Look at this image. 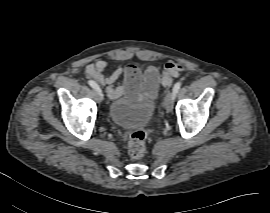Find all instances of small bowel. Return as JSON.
I'll return each mask as SVG.
<instances>
[{
    "label": "small bowel",
    "instance_id": "small-bowel-1",
    "mask_svg": "<svg viewBox=\"0 0 270 213\" xmlns=\"http://www.w3.org/2000/svg\"><path fill=\"white\" fill-rule=\"evenodd\" d=\"M106 68V60L99 59L88 64L85 67V73L88 77L105 86L109 95L132 97L140 91H143L149 99L156 95L158 89V69L156 67L149 66L145 71H142L138 66L132 65L117 68L110 75H105ZM121 78L123 81L116 84Z\"/></svg>",
    "mask_w": 270,
    "mask_h": 213
}]
</instances>
